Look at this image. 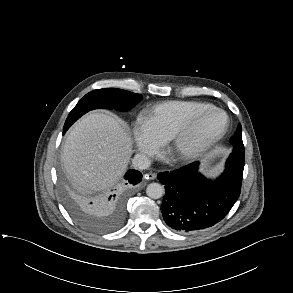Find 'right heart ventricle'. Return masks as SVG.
Returning <instances> with one entry per match:
<instances>
[{
    "mask_svg": "<svg viewBox=\"0 0 293 293\" xmlns=\"http://www.w3.org/2000/svg\"><path fill=\"white\" fill-rule=\"evenodd\" d=\"M208 106L212 105L199 101H166L147 110L143 120L156 136L167 141L192 114Z\"/></svg>",
    "mask_w": 293,
    "mask_h": 293,
    "instance_id": "obj_1",
    "label": "right heart ventricle"
}]
</instances>
